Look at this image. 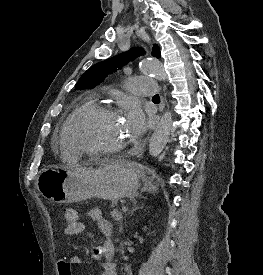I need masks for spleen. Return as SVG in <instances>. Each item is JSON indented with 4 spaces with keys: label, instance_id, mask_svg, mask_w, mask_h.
<instances>
[{
    "label": "spleen",
    "instance_id": "spleen-1",
    "mask_svg": "<svg viewBox=\"0 0 263 275\" xmlns=\"http://www.w3.org/2000/svg\"><path fill=\"white\" fill-rule=\"evenodd\" d=\"M133 165V167L134 168H136V170L140 173V174H142L141 176H142V178H143V180H145V177H144V175H143V167L141 166V165H137V164H132ZM149 192H156V188L154 187V186H152V185H147V188H146Z\"/></svg>",
    "mask_w": 263,
    "mask_h": 275
}]
</instances>
